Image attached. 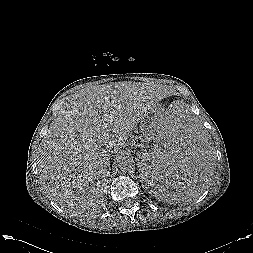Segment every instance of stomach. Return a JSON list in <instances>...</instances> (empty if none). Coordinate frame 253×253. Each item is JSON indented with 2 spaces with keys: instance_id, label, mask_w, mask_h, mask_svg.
Here are the masks:
<instances>
[{
  "instance_id": "obj_1",
  "label": "stomach",
  "mask_w": 253,
  "mask_h": 253,
  "mask_svg": "<svg viewBox=\"0 0 253 253\" xmlns=\"http://www.w3.org/2000/svg\"><path fill=\"white\" fill-rule=\"evenodd\" d=\"M164 114L163 108L156 106L142 119L140 123V130L145 140L151 141V138L158 126V122Z\"/></svg>"
}]
</instances>
